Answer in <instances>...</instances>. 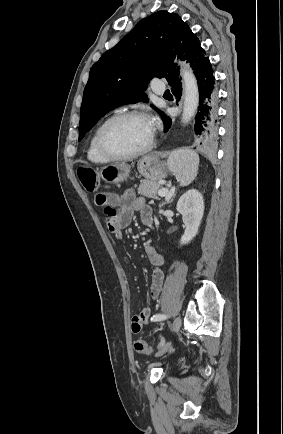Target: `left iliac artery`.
Returning <instances> with one entry per match:
<instances>
[{
  "label": "left iliac artery",
  "instance_id": "obj_1",
  "mask_svg": "<svg viewBox=\"0 0 283 434\" xmlns=\"http://www.w3.org/2000/svg\"><path fill=\"white\" fill-rule=\"evenodd\" d=\"M168 316L165 314H157L155 316H153L152 320L153 321H161V320H165ZM164 344V340H161V345Z\"/></svg>",
  "mask_w": 283,
  "mask_h": 434
}]
</instances>
